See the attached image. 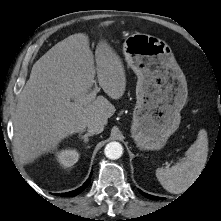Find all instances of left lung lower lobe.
<instances>
[{
  "label": "left lung lower lobe",
  "mask_w": 221,
  "mask_h": 221,
  "mask_svg": "<svg viewBox=\"0 0 221 221\" xmlns=\"http://www.w3.org/2000/svg\"><path fill=\"white\" fill-rule=\"evenodd\" d=\"M145 197L149 198V199H154V200H160V199H163V198H160V197H155V196H152V195H149V194H146L144 192H142L141 190H139Z\"/></svg>",
  "instance_id": "1"
}]
</instances>
